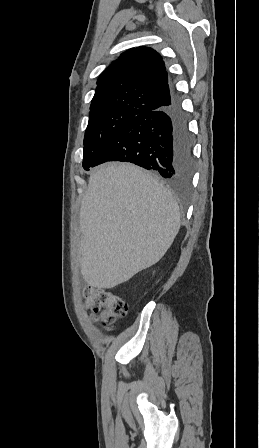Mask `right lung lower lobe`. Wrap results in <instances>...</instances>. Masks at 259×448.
<instances>
[{
	"label": "right lung lower lobe",
	"instance_id": "right-lung-lower-lobe-1",
	"mask_svg": "<svg viewBox=\"0 0 259 448\" xmlns=\"http://www.w3.org/2000/svg\"><path fill=\"white\" fill-rule=\"evenodd\" d=\"M170 93L168 105L131 120L91 167L126 161L156 171L173 185H186L193 168L192 137L172 81Z\"/></svg>",
	"mask_w": 259,
	"mask_h": 448
}]
</instances>
